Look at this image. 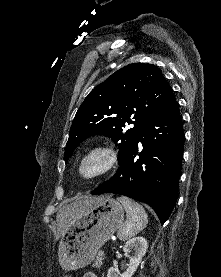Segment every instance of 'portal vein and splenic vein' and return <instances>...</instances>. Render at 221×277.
Returning a JSON list of instances; mask_svg holds the SVG:
<instances>
[{
  "instance_id": "obj_1",
  "label": "portal vein and splenic vein",
  "mask_w": 221,
  "mask_h": 277,
  "mask_svg": "<svg viewBox=\"0 0 221 277\" xmlns=\"http://www.w3.org/2000/svg\"><path fill=\"white\" fill-rule=\"evenodd\" d=\"M100 253H101V254H104V251H103V250H101V251H100Z\"/></svg>"
}]
</instances>
